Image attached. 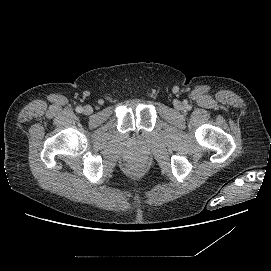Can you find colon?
<instances>
[{
  "mask_svg": "<svg viewBox=\"0 0 271 271\" xmlns=\"http://www.w3.org/2000/svg\"><path fill=\"white\" fill-rule=\"evenodd\" d=\"M142 171V168L140 165L138 164H131L129 165L128 167V172L131 174V175H138L140 174Z\"/></svg>",
  "mask_w": 271,
  "mask_h": 271,
  "instance_id": "1",
  "label": "colon"
}]
</instances>
